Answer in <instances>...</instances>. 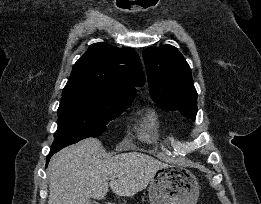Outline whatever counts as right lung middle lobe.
Masks as SVG:
<instances>
[{
    "mask_svg": "<svg viewBox=\"0 0 261 204\" xmlns=\"http://www.w3.org/2000/svg\"><path fill=\"white\" fill-rule=\"evenodd\" d=\"M131 102L106 103L90 94L62 96L58 108V128L51 149L64 148L84 138L98 137Z\"/></svg>",
    "mask_w": 261,
    "mask_h": 204,
    "instance_id": "right-lung-middle-lobe-1",
    "label": "right lung middle lobe"
}]
</instances>
